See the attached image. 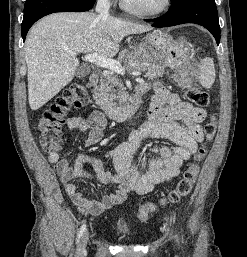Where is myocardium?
<instances>
[{
  "label": "myocardium",
  "mask_w": 247,
  "mask_h": 257,
  "mask_svg": "<svg viewBox=\"0 0 247 257\" xmlns=\"http://www.w3.org/2000/svg\"><path fill=\"white\" fill-rule=\"evenodd\" d=\"M121 7L128 13L143 18H157L164 15L171 7L172 0H163L162 5L154 10H143L131 6L126 0H120Z\"/></svg>",
  "instance_id": "myocardium-1"
}]
</instances>
